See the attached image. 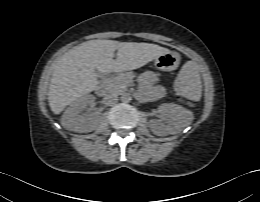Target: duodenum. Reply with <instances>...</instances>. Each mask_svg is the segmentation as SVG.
<instances>
[{
	"mask_svg": "<svg viewBox=\"0 0 260 202\" xmlns=\"http://www.w3.org/2000/svg\"><path fill=\"white\" fill-rule=\"evenodd\" d=\"M117 74H118V71H117V70H110L109 72H107L105 78H106V79H111V78L115 77ZM101 90H102V86L99 85V86L97 87V91H101Z\"/></svg>",
	"mask_w": 260,
	"mask_h": 202,
	"instance_id": "duodenum-1",
	"label": "duodenum"
}]
</instances>
